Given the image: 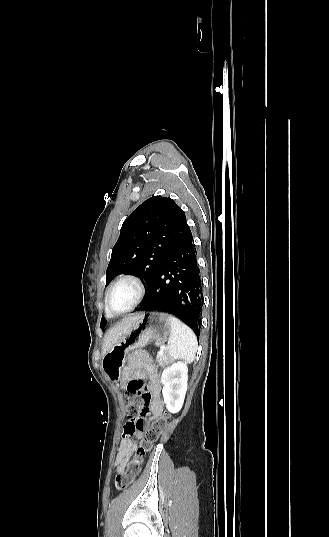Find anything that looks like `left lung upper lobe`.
I'll return each mask as SVG.
<instances>
[{"label": "left lung upper lobe", "mask_w": 329, "mask_h": 537, "mask_svg": "<svg viewBox=\"0 0 329 537\" xmlns=\"http://www.w3.org/2000/svg\"><path fill=\"white\" fill-rule=\"evenodd\" d=\"M190 232L184 211L172 199H147L121 227L107 267L106 285L119 274L132 273L140 275L149 289L162 262ZM105 325L102 318L101 328Z\"/></svg>", "instance_id": "obj_1"}]
</instances>
